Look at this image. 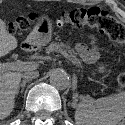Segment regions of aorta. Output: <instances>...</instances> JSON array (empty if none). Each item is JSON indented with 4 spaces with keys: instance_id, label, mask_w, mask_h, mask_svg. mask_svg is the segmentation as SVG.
Instances as JSON below:
<instances>
[{
    "instance_id": "obj_1",
    "label": "aorta",
    "mask_w": 125,
    "mask_h": 125,
    "mask_svg": "<svg viewBox=\"0 0 125 125\" xmlns=\"http://www.w3.org/2000/svg\"><path fill=\"white\" fill-rule=\"evenodd\" d=\"M50 84L58 90H65L70 86V78L63 70L55 69L50 75Z\"/></svg>"
}]
</instances>
